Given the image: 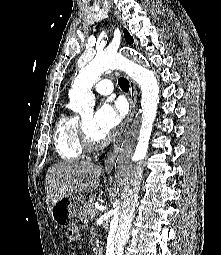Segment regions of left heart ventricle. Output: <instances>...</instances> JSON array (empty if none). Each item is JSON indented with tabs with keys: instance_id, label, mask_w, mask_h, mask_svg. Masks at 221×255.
I'll return each mask as SVG.
<instances>
[{
	"instance_id": "1",
	"label": "left heart ventricle",
	"mask_w": 221,
	"mask_h": 255,
	"mask_svg": "<svg viewBox=\"0 0 221 255\" xmlns=\"http://www.w3.org/2000/svg\"><path fill=\"white\" fill-rule=\"evenodd\" d=\"M83 123H84L85 128L87 129L88 133L94 140L99 141L105 137L104 135L97 132V130L94 128L92 115H89L88 117H86L84 119Z\"/></svg>"
}]
</instances>
